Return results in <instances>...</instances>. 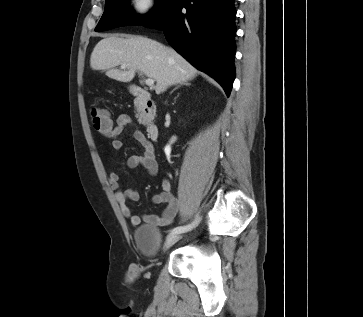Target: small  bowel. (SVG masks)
Masks as SVG:
<instances>
[{"label": "small bowel", "mask_w": 363, "mask_h": 317, "mask_svg": "<svg viewBox=\"0 0 363 317\" xmlns=\"http://www.w3.org/2000/svg\"><path fill=\"white\" fill-rule=\"evenodd\" d=\"M131 123V118L128 115H121L117 119L115 126H111L109 130L103 132L106 137L111 139V146L114 151H120L123 148V142L119 137ZM134 138L143 146L144 152L142 154L129 156L126 160L127 167L136 168L141 166L145 168L151 176L157 175L158 163L153 143L139 129L134 131ZM119 179L120 177L117 172L110 173L109 185L115 191V197L123 215L127 217L133 225H138L140 224L141 219L139 216L132 214L128 203L129 201H139L140 194L136 189H120ZM152 202L155 204L165 203L166 208L160 216H145L146 221L158 226L171 225L179 212L180 202L171 192V182L168 178L163 179L162 191L152 196Z\"/></svg>", "instance_id": "c3829d8e"}]
</instances>
